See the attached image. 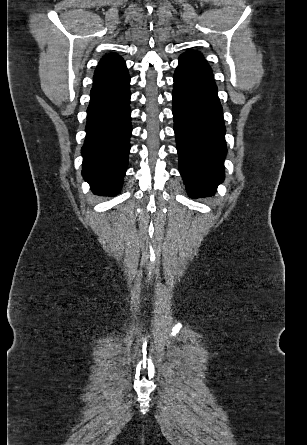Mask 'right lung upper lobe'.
Returning <instances> with one entry per match:
<instances>
[{
	"mask_svg": "<svg viewBox=\"0 0 307 445\" xmlns=\"http://www.w3.org/2000/svg\"><path fill=\"white\" fill-rule=\"evenodd\" d=\"M123 63L124 60L117 54L111 53L105 55L96 67L95 74L111 70Z\"/></svg>",
	"mask_w": 307,
	"mask_h": 445,
	"instance_id": "right-lung-upper-lobe-1",
	"label": "right lung upper lobe"
}]
</instances>
